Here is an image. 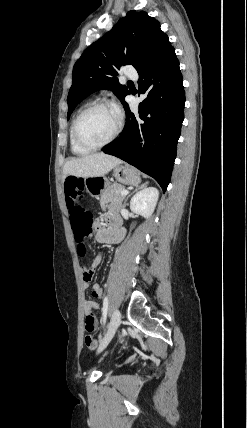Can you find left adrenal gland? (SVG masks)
Masks as SVG:
<instances>
[{
  "mask_svg": "<svg viewBox=\"0 0 247 428\" xmlns=\"http://www.w3.org/2000/svg\"><path fill=\"white\" fill-rule=\"evenodd\" d=\"M147 184H148V182L143 183L141 186L137 187V188L135 189V191H137L138 189H141V188L145 187ZM135 191H133V192H135ZM133 192H132V193H133ZM132 193L128 194V195H127V197L125 198V200H124V206H126V205H127V204H126V203H127V199L132 195Z\"/></svg>",
  "mask_w": 247,
  "mask_h": 428,
  "instance_id": "1",
  "label": "left adrenal gland"
}]
</instances>
